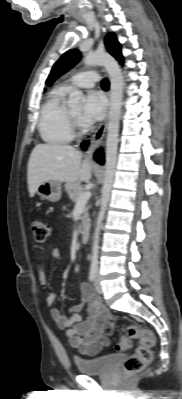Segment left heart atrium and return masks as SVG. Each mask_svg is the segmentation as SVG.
<instances>
[{"label": "left heart atrium", "instance_id": "obj_1", "mask_svg": "<svg viewBox=\"0 0 182 399\" xmlns=\"http://www.w3.org/2000/svg\"><path fill=\"white\" fill-rule=\"evenodd\" d=\"M105 109V97L100 92H90L86 96L84 108L80 114L81 123L85 126H89L101 120Z\"/></svg>", "mask_w": 182, "mask_h": 399}]
</instances>
